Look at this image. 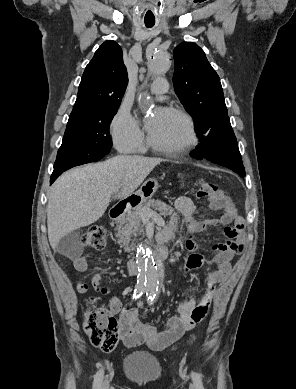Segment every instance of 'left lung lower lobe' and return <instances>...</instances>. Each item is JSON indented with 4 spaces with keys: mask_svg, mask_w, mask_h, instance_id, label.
<instances>
[{
    "mask_svg": "<svg viewBox=\"0 0 296 389\" xmlns=\"http://www.w3.org/2000/svg\"><path fill=\"white\" fill-rule=\"evenodd\" d=\"M199 140L200 144L190 153L193 158L206 159L233 170L242 178L245 177L241 154L229 118L218 122Z\"/></svg>",
    "mask_w": 296,
    "mask_h": 389,
    "instance_id": "0a47b994",
    "label": "left lung lower lobe"
}]
</instances>
